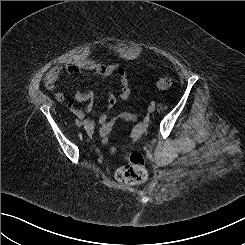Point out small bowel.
Instances as JSON below:
<instances>
[{"label":"small bowel","mask_w":245,"mask_h":245,"mask_svg":"<svg viewBox=\"0 0 245 245\" xmlns=\"http://www.w3.org/2000/svg\"><path fill=\"white\" fill-rule=\"evenodd\" d=\"M82 71L94 72L100 79H107L112 75H117L120 82V91L118 95H116L113 91L108 92L106 109L98 116L96 120L86 117L87 113L93 108L95 99L93 92H83L77 90L68 101L70 111L75 116L83 120L88 130H93L97 125H103L107 121L108 114L115 106L118 97L122 100H126L130 96V88L126 75L118 64H102L93 59H86L54 66L46 73L44 77L45 87L47 90L54 92L55 99L62 103L66 100V98L62 92L56 91L57 81L63 74L73 76L81 73ZM79 102H85L86 106L84 108L76 107V104Z\"/></svg>","instance_id":"obj_1"}]
</instances>
